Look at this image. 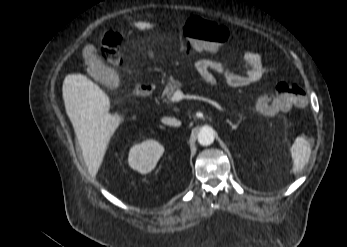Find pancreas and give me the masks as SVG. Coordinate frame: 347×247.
Returning <instances> with one entry per match:
<instances>
[{"instance_id": "obj_1", "label": "pancreas", "mask_w": 347, "mask_h": 247, "mask_svg": "<svg viewBox=\"0 0 347 247\" xmlns=\"http://www.w3.org/2000/svg\"><path fill=\"white\" fill-rule=\"evenodd\" d=\"M182 87V83L178 79H174L173 77H170L165 82V87L163 89L162 98H170L173 93ZM240 118H243L240 115Z\"/></svg>"}]
</instances>
